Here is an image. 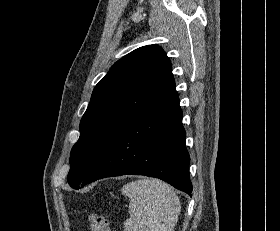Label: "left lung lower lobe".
<instances>
[{
  "mask_svg": "<svg viewBox=\"0 0 280 231\" xmlns=\"http://www.w3.org/2000/svg\"><path fill=\"white\" fill-rule=\"evenodd\" d=\"M185 136L174 90L111 141L78 189L98 179L132 174L162 179L191 196Z\"/></svg>",
  "mask_w": 280,
  "mask_h": 231,
  "instance_id": "0a47b994",
  "label": "left lung lower lobe"
}]
</instances>
